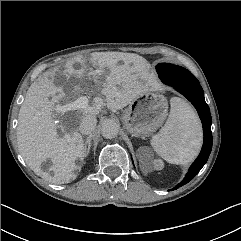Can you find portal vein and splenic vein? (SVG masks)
Segmentation results:
<instances>
[{"mask_svg":"<svg viewBox=\"0 0 241 241\" xmlns=\"http://www.w3.org/2000/svg\"><path fill=\"white\" fill-rule=\"evenodd\" d=\"M87 105L88 99L86 97H80L74 103L68 104L70 109L85 108ZM57 110L64 113L66 111V105L57 107Z\"/></svg>","mask_w":241,"mask_h":241,"instance_id":"18ae733b","label":"portal vein and splenic vein"}]
</instances>
